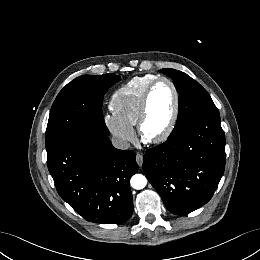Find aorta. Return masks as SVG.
Segmentation results:
<instances>
[{
  "mask_svg": "<svg viewBox=\"0 0 260 260\" xmlns=\"http://www.w3.org/2000/svg\"><path fill=\"white\" fill-rule=\"evenodd\" d=\"M130 184L134 189L140 190L143 189L147 184V179L142 174H135L130 180Z\"/></svg>",
  "mask_w": 260,
  "mask_h": 260,
  "instance_id": "762f6f07",
  "label": "aorta"
}]
</instances>
